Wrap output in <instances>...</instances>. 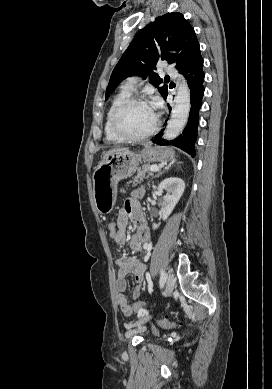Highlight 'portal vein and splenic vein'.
I'll return each mask as SVG.
<instances>
[{
  "instance_id": "obj_1",
  "label": "portal vein and splenic vein",
  "mask_w": 272,
  "mask_h": 389,
  "mask_svg": "<svg viewBox=\"0 0 272 389\" xmlns=\"http://www.w3.org/2000/svg\"><path fill=\"white\" fill-rule=\"evenodd\" d=\"M158 170H159V167L157 165H152L150 168V171H152V172H156Z\"/></svg>"
}]
</instances>
